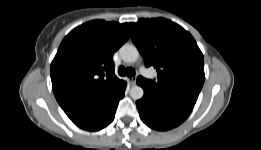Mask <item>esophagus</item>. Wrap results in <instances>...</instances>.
Instances as JSON below:
<instances>
[{
	"label": "esophagus",
	"mask_w": 261,
	"mask_h": 150,
	"mask_svg": "<svg viewBox=\"0 0 261 150\" xmlns=\"http://www.w3.org/2000/svg\"><path fill=\"white\" fill-rule=\"evenodd\" d=\"M129 82H130V84L133 86V85H135L136 84V77H131L130 79H129Z\"/></svg>",
	"instance_id": "esophagus-1"
}]
</instances>
